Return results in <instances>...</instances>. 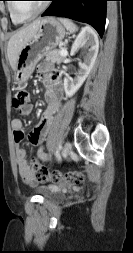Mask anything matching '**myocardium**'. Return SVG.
I'll use <instances>...</instances> for the list:
<instances>
[{"instance_id":"obj_1","label":"myocardium","mask_w":133,"mask_h":253,"mask_svg":"<svg viewBox=\"0 0 133 253\" xmlns=\"http://www.w3.org/2000/svg\"><path fill=\"white\" fill-rule=\"evenodd\" d=\"M48 7V2L45 1L43 3V5L38 9V11H36L34 14L28 16V17H21L17 14L15 8H14V2H10L9 3V10L10 13L12 15V17L14 18V20H16L18 23H25L28 22L30 20H33L34 18L38 17L40 14H42Z\"/></svg>"}]
</instances>
